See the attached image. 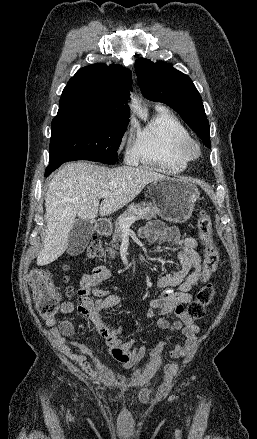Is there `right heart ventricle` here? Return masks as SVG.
<instances>
[{
    "instance_id": "obj_1",
    "label": "right heart ventricle",
    "mask_w": 257,
    "mask_h": 439,
    "mask_svg": "<svg viewBox=\"0 0 257 439\" xmlns=\"http://www.w3.org/2000/svg\"><path fill=\"white\" fill-rule=\"evenodd\" d=\"M187 138L190 134L183 123L168 110L160 108L152 121L137 131L134 163L177 174L189 161L179 149Z\"/></svg>"
}]
</instances>
